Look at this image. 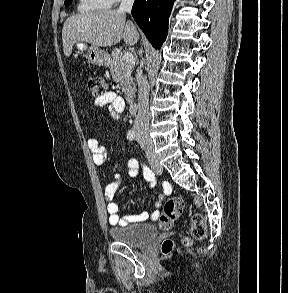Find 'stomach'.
Here are the masks:
<instances>
[{
    "instance_id": "0dacf381",
    "label": "stomach",
    "mask_w": 288,
    "mask_h": 293,
    "mask_svg": "<svg viewBox=\"0 0 288 293\" xmlns=\"http://www.w3.org/2000/svg\"><path fill=\"white\" fill-rule=\"evenodd\" d=\"M75 48L77 53L86 52V59L93 65L107 66L110 62L109 55L98 47H94L92 45L88 47L87 43L85 42H77L75 44Z\"/></svg>"
}]
</instances>
